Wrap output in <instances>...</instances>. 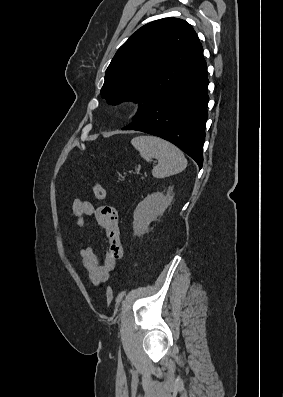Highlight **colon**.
<instances>
[{"mask_svg":"<svg viewBox=\"0 0 283 397\" xmlns=\"http://www.w3.org/2000/svg\"><path fill=\"white\" fill-rule=\"evenodd\" d=\"M91 189L93 191L94 196L98 199V200H104L106 197V192L105 189L103 188L102 185H100L98 182H96L95 180L91 179ZM105 293H106V301L108 304H111L114 300V292L110 287H107L105 289Z\"/></svg>","mask_w":283,"mask_h":397,"instance_id":"obj_1","label":"colon"}]
</instances>
